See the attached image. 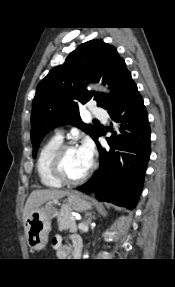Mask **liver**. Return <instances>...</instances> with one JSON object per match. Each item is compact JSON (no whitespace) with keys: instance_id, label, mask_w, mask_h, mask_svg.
<instances>
[{"instance_id":"liver-1","label":"liver","mask_w":175,"mask_h":287,"mask_svg":"<svg viewBox=\"0 0 175 287\" xmlns=\"http://www.w3.org/2000/svg\"><path fill=\"white\" fill-rule=\"evenodd\" d=\"M68 194V191L57 189H42L32 191L25 203V207L23 210V220L26 219L27 215L32 210L40 207L45 202L58 200Z\"/></svg>"}]
</instances>
